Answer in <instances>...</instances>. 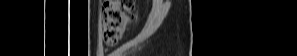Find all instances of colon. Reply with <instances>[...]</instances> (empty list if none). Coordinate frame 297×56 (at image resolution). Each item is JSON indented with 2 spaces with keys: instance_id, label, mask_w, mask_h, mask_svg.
<instances>
[{
  "instance_id": "5ec220e1",
  "label": "colon",
  "mask_w": 297,
  "mask_h": 56,
  "mask_svg": "<svg viewBox=\"0 0 297 56\" xmlns=\"http://www.w3.org/2000/svg\"><path fill=\"white\" fill-rule=\"evenodd\" d=\"M135 15L134 0H107L102 6L104 41L116 45Z\"/></svg>"
}]
</instances>
